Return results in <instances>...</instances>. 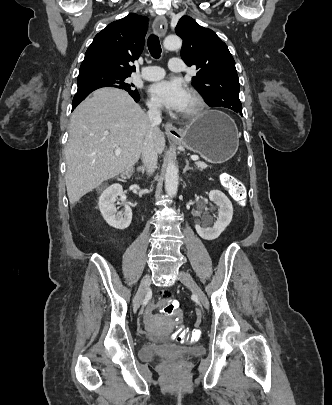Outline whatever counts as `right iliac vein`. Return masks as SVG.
<instances>
[{"label": "right iliac vein", "instance_id": "63e3f726", "mask_svg": "<svg viewBox=\"0 0 332 405\" xmlns=\"http://www.w3.org/2000/svg\"><path fill=\"white\" fill-rule=\"evenodd\" d=\"M150 281H151V275L150 274H147L142 279V281L140 283V286L138 288V291H137V293H136V295H135V297L133 299V309L134 310H137L140 307L141 302H142V300L144 298V295H145V293H146V291H147V289H148V287L150 285Z\"/></svg>", "mask_w": 332, "mask_h": 405}]
</instances>
